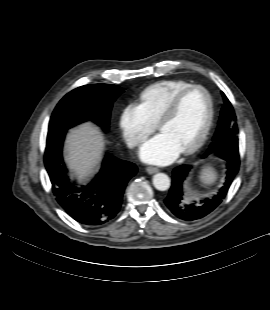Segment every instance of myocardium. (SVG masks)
<instances>
[{
	"mask_svg": "<svg viewBox=\"0 0 270 310\" xmlns=\"http://www.w3.org/2000/svg\"><path fill=\"white\" fill-rule=\"evenodd\" d=\"M194 90H200L206 95L207 103H208V112L206 116L205 125L203 127L201 134L188 148L181 151V154L183 155H189L197 151L204 144V142L206 141L210 133L212 123H213V117H214V103H213V99H212L210 92L204 86L197 85V84L189 85L183 88L171 98V100L169 101L167 106L164 108V110L162 111V113L160 114L157 120V129L160 130L161 125L163 123L168 122L174 116V114L176 113L179 107V104L182 98L187 93L194 91Z\"/></svg>",
	"mask_w": 270,
	"mask_h": 310,
	"instance_id": "myocardium-1",
	"label": "myocardium"
}]
</instances>
